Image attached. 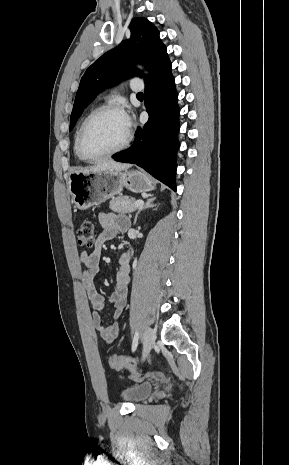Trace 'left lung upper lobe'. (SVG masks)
Segmentation results:
<instances>
[{"mask_svg":"<svg viewBox=\"0 0 289 465\" xmlns=\"http://www.w3.org/2000/svg\"><path fill=\"white\" fill-rule=\"evenodd\" d=\"M130 31L129 40L102 55L81 78L70 117V130L84 108L99 92L115 85L124 77L139 72L133 68V62H139L149 68L151 76H146V84L171 71L166 47L159 38L157 28L148 19L134 18L130 24Z\"/></svg>","mask_w":289,"mask_h":465,"instance_id":"1","label":"left lung upper lobe"}]
</instances>
